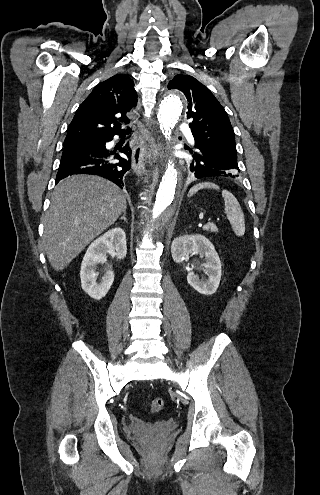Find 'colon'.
<instances>
[{"label": "colon", "instance_id": "5ec220e1", "mask_svg": "<svg viewBox=\"0 0 320 495\" xmlns=\"http://www.w3.org/2000/svg\"><path fill=\"white\" fill-rule=\"evenodd\" d=\"M163 405H164V402L160 398H156V399L149 401L147 404L148 413L151 415H155V414L159 413L162 410Z\"/></svg>", "mask_w": 320, "mask_h": 495}]
</instances>
